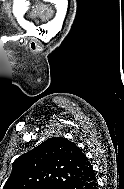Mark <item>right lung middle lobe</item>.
<instances>
[{
	"label": "right lung middle lobe",
	"mask_w": 124,
	"mask_h": 189,
	"mask_svg": "<svg viewBox=\"0 0 124 189\" xmlns=\"http://www.w3.org/2000/svg\"><path fill=\"white\" fill-rule=\"evenodd\" d=\"M40 189H63V186H57V185L44 186V187H41Z\"/></svg>",
	"instance_id": "right-lung-middle-lobe-1"
}]
</instances>
